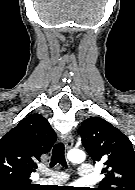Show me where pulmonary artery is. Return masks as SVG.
I'll return each instance as SVG.
<instances>
[{
	"label": "pulmonary artery",
	"mask_w": 135,
	"mask_h": 190,
	"mask_svg": "<svg viewBox=\"0 0 135 190\" xmlns=\"http://www.w3.org/2000/svg\"><path fill=\"white\" fill-rule=\"evenodd\" d=\"M42 174L47 177H42L38 180L40 184H61L68 180V175L65 172L43 170ZM77 174L80 178L88 179L93 175V168L88 163H81L78 166Z\"/></svg>",
	"instance_id": "1"
}]
</instances>
